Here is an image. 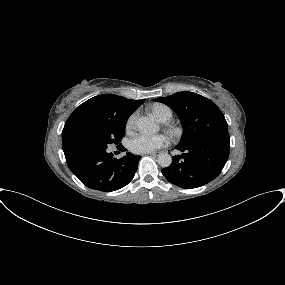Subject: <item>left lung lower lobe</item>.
<instances>
[{
    "instance_id": "1",
    "label": "left lung lower lobe",
    "mask_w": 285,
    "mask_h": 285,
    "mask_svg": "<svg viewBox=\"0 0 285 285\" xmlns=\"http://www.w3.org/2000/svg\"><path fill=\"white\" fill-rule=\"evenodd\" d=\"M175 148L183 154L174 156L172 164L161 172L170 183L190 189L209 183L221 173L230 143L207 139Z\"/></svg>"
}]
</instances>
